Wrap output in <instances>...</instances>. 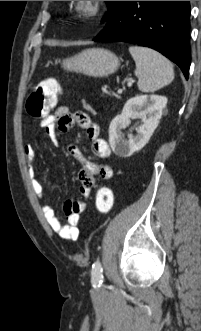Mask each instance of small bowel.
I'll list each match as a JSON object with an SVG mask.
<instances>
[{
  "label": "small bowel",
  "mask_w": 201,
  "mask_h": 331,
  "mask_svg": "<svg viewBox=\"0 0 201 331\" xmlns=\"http://www.w3.org/2000/svg\"><path fill=\"white\" fill-rule=\"evenodd\" d=\"M81 127L91 143L93 154L101 159H108L111 155L109 144L100 137L99 126L84 112L77 111L72 113L68 107L60 106L53 114L44 117L41 126L47 136L58 146L59 134L72 128ZM68 152L80 163L78 178L81 182L80 195L88 198L95 183V177L109 180L113 177V169L106 163H95L85 158L82 152L75 145H68ZM24 155L28 163V174L32 188L41 203L45 219L49 226L62 239L74 241L79 236L80 215L85 210V203L81 200H68L64 204V212L67 224H62L55 214L53 208L46 203L43 185L37 178L36 171L32 162L36 157V150L32 144H26Z\"/></svg>",
  "instance_id": "obj_1"
}]
</instances>
